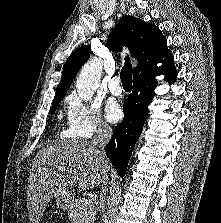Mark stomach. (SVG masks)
Masks as SVG:
<instances>
[{"instance_id":"1","label":"stomach","mask_w":221,"mask_h":223,"mask_svg":"<svg viewBox=\"0 0 221 223\" xmlns=\"http://www.w3.org/2000/svg\"><path fill=\"white\" fill-rule=\"evenodd\" d=\"M55 201L58 207L68 209L73 202V194L70 191L62 192L55 196Z\"/></svg>"}]
</instances>
